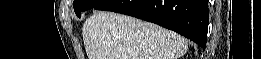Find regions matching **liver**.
<instances>
[{
    "mask_svg": "<svg viewBox=\"0 0 261 59\" xmlns=\"http://www.w3.org/2000/svg\"><path fill=\"white\" fill-rule=\"evenodd\" d=\"M82 35L88 59H179L188 47L175 32L114 12H95Z\"/></svg>",
    "mask_w": 261,
    "mask_h": 59,
    "instance_id": "6515ba94",
    "label": "liver"
}]
</instances>
